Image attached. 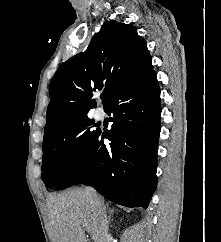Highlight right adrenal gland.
<instances>
[{"label": "right adrenal gland", "mask_w": 221, "mask_h": 242, "mask_svg": "<svg viewBox=\"0 0 221 242\" xmlns=\"http://www.w3.org/2000/svg\"><path fill=\"white\" fill-rule=\"evenodd\" d=\"M115 210L113 208L109 207V216H108V222L111 223L112 219L111 216L114 214Z\"/></svg>", "instance_id": "obj_1"}]
</instances>
